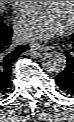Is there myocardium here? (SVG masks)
Returning a JSON list of instances; mask_svg holds the SVG:
<instances>
[{"label": "myocardium", "mask_w": 74, "mask_h": 122, "mask_svg": "<svg viewBox=\"0 0 74 122\" xmlns=\"http://www.w3.org/2000/svg\"><path fill=\"white\" fill-rule=\"evenodd\" d=\"M72 8H73V11H72V16H71V22L73 23L74 22V1H72Z\"/></svg>", "instance_id": "f54148a6"}]
</instances>
